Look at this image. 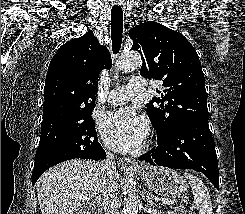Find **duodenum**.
<instances>
[{"mask_svg":"<svg viewBox=\"0 0 245 214\" xmlns=\"http://www.w3.org/2000/svg\"><path fill=\"white\" fill-rule=\"evenodd\" d=\"M86 214H100V208L98 205H91Z\"/></svg>","mask_w":245,"mask_h":214,"instance_id":"obj_1","label":"duodenum"}]
</instances>
